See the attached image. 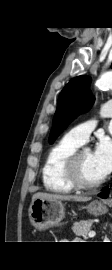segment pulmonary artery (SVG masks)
<instances>
[{"instance_id": "1", "label": "pulmonary artery", "mask_w": 112, "mask_h": 270, "mask_svg": "<svg viewBox=\"0 0 112 270\" xmlns=\"http://www.w3.org/2000/svg\"><path fill=\"white\" fill-rule=\"evenodd\" d=\"M100 114L103 118H112V102L107 103L104 105L101 110ZM96 127V121L91 120L86 123L80 124L76 127H73L68 132V135L72 137L74 140L78 141L79 143L83 144L89 138L91 132Z\"/></svg>"}]
</instances>
